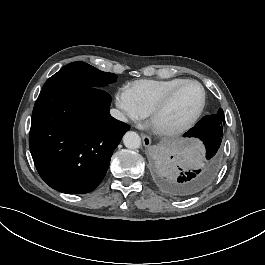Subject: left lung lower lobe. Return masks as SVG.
I'll return each instance as SVG.
<instances>
[{
  "label": "left lung lower lobe",
  "instance_id": "1",
  "mask_svg": "<svg viewBox=\"0 0 265 265\" xmlns=\"http://www.w3.org/2000/svg\"><path fill=\"white\" fill-rule=\"evenodd\" d=\"M219 112L223 113L222 109ZM224 117L209 115L203 117L193 128L184 134L185 137L199 138L204 148L200 152L197 166L183 171L177 167L181 163L175 151H164L154 162L153 177L156 184L167 194L186 198L198 194L213 181L221 163V142L223 137Z\"/></svg>",
  "mask_w": 265,
  "mask_h": 265
}]
</instances>
